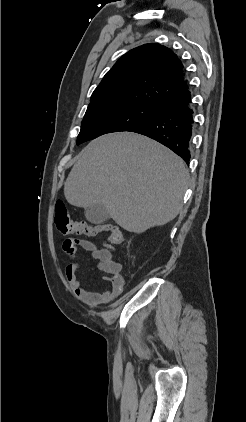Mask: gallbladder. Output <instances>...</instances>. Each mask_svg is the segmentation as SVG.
<instances>
[{"instance_id":"bac80fb5","label":"gallbladder","mask_w":246,"mask_h":422,"mask_svg":"<svg viewBox=\"0 0 246 422\" xmlns=\"http://www.w3.org/2000/svg\"><path fill=\"white\" fill-rule=\"evenodd\" d=\"M86 219L94 224H101L110 218L109 213L103 205H94L86 208Z\"/></svg>"}]
</instances>
